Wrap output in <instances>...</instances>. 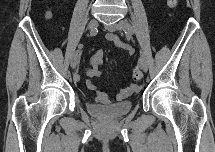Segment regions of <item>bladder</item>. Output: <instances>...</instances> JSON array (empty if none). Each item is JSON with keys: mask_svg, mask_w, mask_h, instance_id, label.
Here are the masks:
<instances>
[{"mask_svg": "<svg viewBox=\"0 0 215 152\" xmlns=\"http://www.w3.org/2000/svg\"><path fill=\"white\" fill-rule=\"evenodd\" d=\"M132 106L131 101L115 103L109 106L90 104L88 110L100 118H116L129 113Z\"/></svg>", "mask_w": 215, "mask_h": 152, "instance_id": "obj_1", "label": "bladder"}]
</instances>
